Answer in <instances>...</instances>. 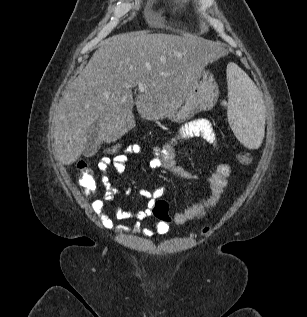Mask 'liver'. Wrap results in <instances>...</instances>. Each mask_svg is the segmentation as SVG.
I'll use <instances>...</instances> for the list:
<instances>
[{"mask_svg": "<svg viewBox=\"0 0 307 317\" xmlns=\"http://www.w3.org/2000/svg\"><path fill=\"white\" fill-rule=\"evenodd\" d=\"M225 48L191 34H121L102 41L86 67L66 87L55 116L56 156L65 165L83 153L97 122L100 142H113L135 127L133 105L143 119L173 113L192 76L208 62H223ZM143 83L135 102L132 89Z\"/></svg>", "mask_w": 307, "mask_h": 317, "instance_id": "6515ba94", "label": "liver"}]
</instances>
